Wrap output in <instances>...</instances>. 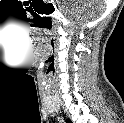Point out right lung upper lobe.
<instances>
[{
    "label": "right lung upper lobe",
    "instance_id": "right-lung-upper-lobe-1",
    "mask_svg": "<svg viewBox=\"0 0 124 123\" xmlns=\"http://www.w3.org/2000/svg\"><path fill=\"white\" fill-rule=\"evenodd\" d=\"M66 121H67V122H71V120H69V119H67Z\"/></svg>",
    "mask_w": 124,
    "mask_h": 123
}]
</instances>
